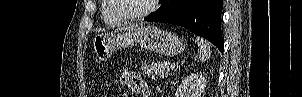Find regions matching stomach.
<instances>
[{"label": "stomach", "mask_w": 302, "mask_h": 97, "mask_svg": "<svg viewBox=\"0 0 302 97\" xmlns=\"http://www.w3.org/2000/svg\"><path fill=\"white\" fill-rule=\"evenodd\" d=\"M140 44L149 51L173 57L185 50V43L176 34L155 26H127L110 34H98L93 39L94 53L99 61H107L119 48Z\"/></svg>", "instance_id": "stomach-1"}]
</instances>
